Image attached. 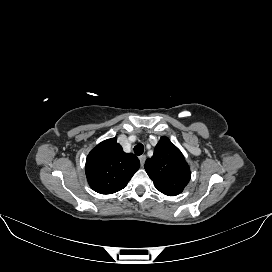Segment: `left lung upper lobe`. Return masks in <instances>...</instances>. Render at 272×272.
<instances>
[{"label":"left lung upper lobe","mask_w":272,"mask_h":272,"mask_svg":"<svg viewBox=\"0 0 272 272\" xmlns=\"http://www.w3.org/2000/svg\"><path fill=\"white\" fill-rule=\"evenodd\" d=\"M145 170L155 187L165 195L176 196L188 184L191 173L181 151L167 137H161Z\"/></svg>","instance_id":"5c2ea615"}]
</instances>
